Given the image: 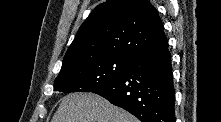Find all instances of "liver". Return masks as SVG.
I'll return each instance as SVG.
<instances>
[{
    "label": "liver",
    "instance_id": "6515ba94",
    "mask_svg": "<svg viewBox=\"0 0 221 122\" xmlns=\"http://www.w3.org/2000/svg\"><path fill=\"white\" fill-rule=\"evenodd\" d=\"M52 122H138L126 110L94 93H71L61 99Z\"/></svg>",
    "mask_w": 221,
    "mask_h": 122
}]
</instances>
